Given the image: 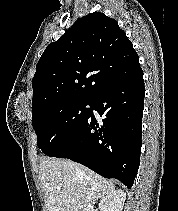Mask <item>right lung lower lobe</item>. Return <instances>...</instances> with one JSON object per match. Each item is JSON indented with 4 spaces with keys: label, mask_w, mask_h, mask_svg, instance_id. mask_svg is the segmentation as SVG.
Segmentation results:
<instances>
[{
    "label": "right lung lower lobe",
    "mask_w": 178,
    "mask_h": 211,
    "mask_svg": "<svg viewBox=\"0 0 178 211\" xmlns=\"http://www.w3.org/2000/svg\"><path fill=\"white\" fill-rule=\"evenodd\" d=\"M144 96L140 67L95 96L83 125L47 155L71 159L130 189L140 164Z\"/></svg>",
    "instance_id": "1"
}]
</instances>
